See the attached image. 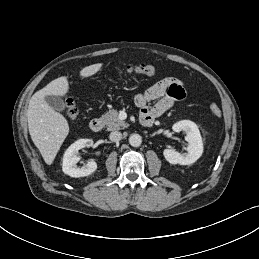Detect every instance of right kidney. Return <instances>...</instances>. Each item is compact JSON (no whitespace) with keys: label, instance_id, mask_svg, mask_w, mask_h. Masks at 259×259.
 Masks as SVG:
<instances>
[{"label":"right kidney","instance_id":"ca27d5eb","mask_svg":"<svg viewBox=\"0 0 259 259\" xmlns=\"http://www.w3.org/2000/svg\"><path fill=\"white\" fill-rule=\"evenodd\" d=\"M92 145V139H79L71 144L63 156V172L75 178L85 177L95 172L97 169V164L94 160L88 161L87 164L81 168L76 166V163L80 160V158L77 156L78 151L86 147H91Z\"/></svg>","mask_w":259,"mask_h":259}]
</instances>
